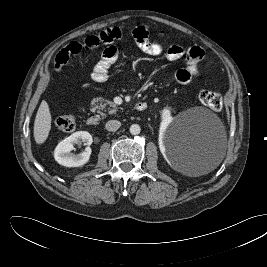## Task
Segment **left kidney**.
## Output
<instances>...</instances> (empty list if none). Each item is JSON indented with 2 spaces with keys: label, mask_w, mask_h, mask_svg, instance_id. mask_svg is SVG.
Instances as JSON below:
<instances>
[{
  "label": "left kidney",
  "mask_w": 267,
  "mask_h": 267,
  "mask_svg": "<svg viewBox=\"0 0 267 267\" xmlns=\"http://www.w3.org/2000/svg\"><path fill=\"white\" fill-rule=\"evenodd\" d=\"M161 118H162V121L160 125V134H163L166 131L168 125L173 120V117L171 116V111L167 108L163 109ZM160 151L164 155V157H166L165 155L166 148L163 144H160Z\"/></svg>",
  "instance_id": "1"
}]
</instances>
